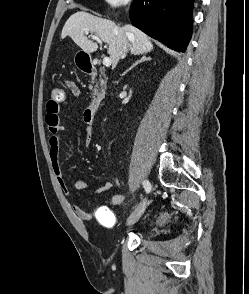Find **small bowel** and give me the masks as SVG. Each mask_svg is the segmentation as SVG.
<instances>
[{"label":"small bowel","instance_id":"obj_1","mask_svg":"<svg viewBox=\"0 0 249 294\" xmlns=\"http://www.w3.org/2000/svg\"><path fill=\"white\" fill-rule=\"evenodd\" d=\"M65 84L72 96L78 97L80 95V89L74 81L66 80ZM45 121L50 133L48 153L53 173L62 192L66 195H70L71 188L62 173L60 165L61 139L64 127L61 124L59 105L53 106L50 102L47 103ZM83 122L85 143L86 146L89 147L93 137V120L88 117L86 110L83 113ZM73 187L78 191H89L91 189L90 186L82 179H76L73 183ZM111 187V182H103L94 189V193L97 195L102 194L110 190ZM125 199L126 197L123 193H118L88 209L77 204H72L71 207L79 220L90 221L95 219L101 226L105 228H112L116 224V215L111 210V207L122 205L125 202Z\"/></svg>","mask_w":249,"mask_h":294}]
</instances>
